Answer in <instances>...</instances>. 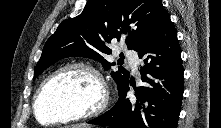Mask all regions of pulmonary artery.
<instances>
[{"mask_svg":"<svg viewBox=\"0 0 221 128\" xmlns=\"http://www.w3.org/2000/svg\"><path fill=\"white\" fill-rule=\"evenodd\" d=\"M125 55L128 58L132 69L136 71L138 69V62H139L138 55L136 53H131V52H125Z\"/></svg>","mask_w":221,"mask_h":128,"instance_id":"obj_1","label":"pulmonary artery"}]
</instances>
